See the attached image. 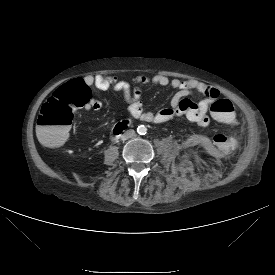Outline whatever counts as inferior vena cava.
I'll return each instance as SVG.
<instances>
[{
    "mask_svg": "<svg viewBox=\"0 0 275 275\" xmlns=\"http://www.w3.org/2000/svg\"><path fill=\"white\" fill-rule=\"evenodd\" d=\"M135 134V131L130 129V130H127L122 136H121V139L122 140H127L129 138H132Z\"/></svg>",
    "mask_w": 275,
    "mask_h": 275,
    "instance_id": "1",
    "label": "inferior vena cava"
}]
</instances>
